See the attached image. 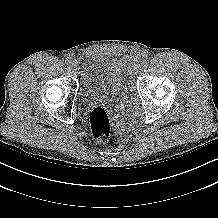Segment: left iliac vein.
Returning a JSON list of instances; mask_svg holds the SVG:
<instances>
[{
    "instance_id": "obj_1",
    "label": "left iliac vein",
    "mask_w": 218,
    "mask_h": 218,
    "mask_svg": "<svg viewBox=\"0 0 218 218\" xmlns=\"http://www.w3.org/2000/svg\"><path fill=\"white\" fill-rule=\"evenodd\" d=\"M141 62H139L138 64H134L133 65V68L131 69L133 72L135 71V70H137L138 68H139V64H140Z\"/></svg>"
}]
</instances>
